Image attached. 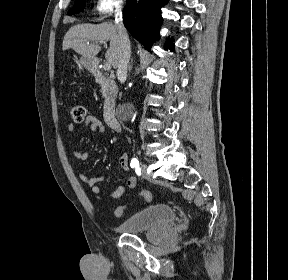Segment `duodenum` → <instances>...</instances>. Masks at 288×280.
Wrapping results in <instances>:
<instances>
[{
	"instance_id": "duodenum-1",
	"label": "duodenum",
	"mask_w": 288,
	"mask_h": 280,
	"mask_svg": "<svg viewBox=\"0 0 288 280\" xmlns=\"http://www.w3.org/2000/svg\"><path fill=\"white\" fill-rule=\"evenodd\" d=\"M89 70L94 76L95 80L100 83L106 91V99L104 103V120L106 124L114 131L120 130V122L115 112V100H116V85L115 83L106 77L99 69L98 64L94 61L89 63Z\"/></svg>"
}]
</instances>
